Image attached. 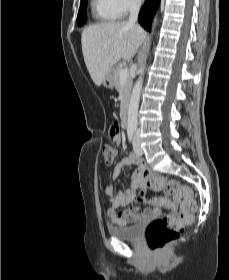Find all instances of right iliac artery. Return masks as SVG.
I'll return each instance as SVG.
<instances>
[{
	"mask_svg": "<svg viewBox=\"0 0 229 280\" xmlns=\"http://www.w3.org/2000/svg\"><path fill=\"white\" fill-rule=\"evenodd\" d=\"M127 134L129 141L132 143L134 141V130H128Z\"/></svg>",
	"mask_w": 229,
	"mask_h": 280,
	"instance_id": "right-iliac-artery-1",
	"label": "right iliac artery"
}]
</instances>
